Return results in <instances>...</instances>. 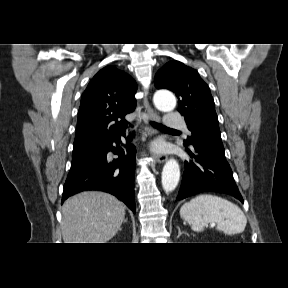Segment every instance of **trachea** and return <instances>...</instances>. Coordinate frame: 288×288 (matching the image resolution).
<instances>
[{"instance_id": "1", "label": "trachea", "mask_w": 288, "mask_h": 288, "mask_svg": "<svg viewBox=\"0 0 288 288\" xmlns=\"http://www.w3.org/2000/svg\"><path fill=\"white\" fill-rule=\"evenodd\" d=\"M151 125L154 126L157 129H159V130L177 131L175 129H170V128L162 125L161 123H157V122H154V121L151 122Z\"/></svg>"}]
</instances>
